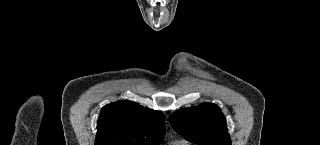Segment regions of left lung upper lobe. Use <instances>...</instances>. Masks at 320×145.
<instances>
[{
  "label": "left lung upper lobe",
  "mask_w": 320,
  "mask_h": 145,
  "mask_svg": "<svg viewBox=\"0 0 320 145\" xmlns=\"http://www.w3.org/2000/svg\"><path fill=\"white\" fill-rule=\"evenodd\" d=\"M170 124L186 140L198 145H231L226 120L221 109L213 103L174 112Z\"/></svg>",
  "instance_id": "left-lung-upper-lobe-1"
}]
</instances>
